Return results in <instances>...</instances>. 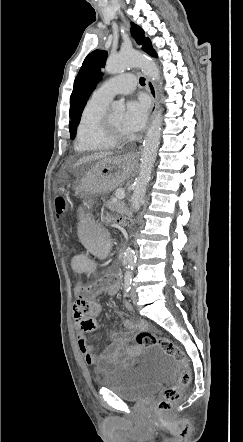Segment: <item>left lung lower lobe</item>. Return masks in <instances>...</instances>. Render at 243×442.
I'll return each instance as SVG.
<instances>
[{"mask_svg":"<svg viewBox=\"0 0 243 442\" xmlns=\"http://www.w3.org/2000/svg\"><path fill=\"white\" fill-rule=\"evenodd\" d=\"M150 55H151V56H157L156 53H155L154 51H152V52L150 53Z\"/></svg>","mask_w":243,"mask_h":442,"instance_id":"0a47b994","label":"left lung lower lobe"}]
</instances>
